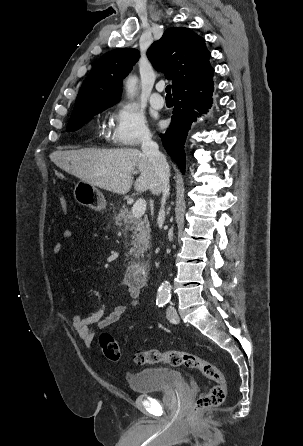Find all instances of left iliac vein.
<instances>
[{"mask_svg":"<svg viewBox=\"0 0 303 446\" xmlns=\"http://www.w3.org/2000/svg\"><path fill=\"white\" fill-rule=\"evenodd\" d=\"M166 314H167V318H168V320L170 322H172V323H178L179 322V317H178L177 311H176V309L174 307L169 306L167 308Z\"/></svg>","mask_w":303,"mask_h":446,"instance_id":"1","label":"left iliac vein"}]
</instances>
